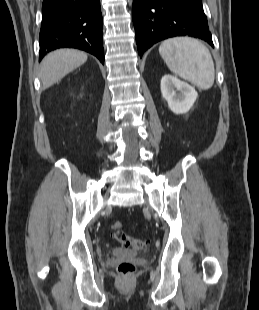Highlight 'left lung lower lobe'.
I'll list each match as a JSON object with an SVG mask.
<instances>
[{
	"label": "left lung lower lobe",
	"instance_id": "1",
	"mask_svg": "<svg viewBox=\"0 0 259 310\" xmlns=\"http://www.w3.org/2000/svg\"><path fill=\"white\" fill-rule=\"evenodd\" d=\"M132 17L138 53L174 36L200 38L213 46L202 0H134Z\"/></svg>",
	"mask_w": 259,
	"mask_h": 310
}]
</instances>
